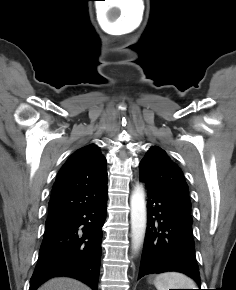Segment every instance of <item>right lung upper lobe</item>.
<instances>
[{
    "mask_svg": "<svg viewBox=\"0 0 236 290\" xmlns=\"http://www.w3.org/2000/svg\"><path fill=\"white\" fill-rule=\"evenodd\" d=\"M106 159L90 144L69 157L58 172L46 220L54 224L72 213L100 201L107 193Z\"/></svg>",
    "mask_w": 236,
    "mask_h": 290,
    "instance_id": "right-lung-upper-lobe-1",
    "label": "right lung upper lobe"
}]
</instances>
